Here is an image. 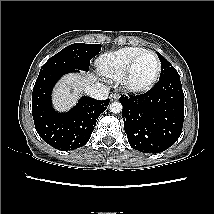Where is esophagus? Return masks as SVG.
<instances>
[{"mask_svg":"<svg viewBox=\"0 0 214 214\" xmlns=\"http://www.w3.org/2000/svg\"><path fill=\"white\" fill-rule=\"evenodd\" d=\"M110 99H111V100H118V99H119V94H117V93H112V94L110 95Z\"/></svg>","mask_w":214,"mask_h":214,"instance_id":"34e87169","label":"esophagus"}]
</instances>
